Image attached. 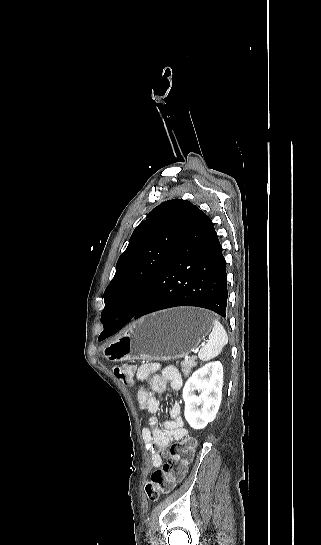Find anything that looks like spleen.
Returning <instances> with one entry per match:
<instances>
[{
  "label": "spleen",
  "mask_w": 321,
  "mask_h": 545,
  "mask_svg": "<svg viewBox=\"0 0 321 545\" xmlns=\"http://www.w3.org/2000/svg\"><path fill=\"white\" fill-rule=\"evenodd\" d=\"M227 343L228 337L224 327H222L221 323H219L217 319H214L212 333L209 335V341H207L206 345L200 349L198 359H200V361H211V359H214V357L220 355L223 347H225Z\"/></svg>",
  "instance_id": "3e777b00"
}]
</instances>
